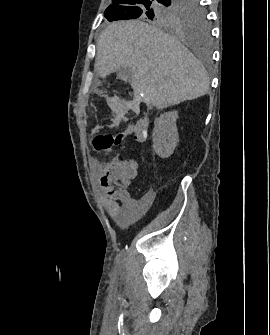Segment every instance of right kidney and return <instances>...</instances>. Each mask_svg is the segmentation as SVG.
I'll return each instance as SVG.
<instances>
[{"mask_svg":"<svg viewBox=\"0 0 270 335\" xmlns=\"http://www.w3.org/2000/svg\"><path fill=\"white\" fill-rule=\"evenodd\" d=\"M177 112H165L160 118H156L155 128L152 134L153 148L160 158L172 156L179 136L177 132L176 120Z\"/></svg>","mask_w":270,"mask_h":335,"instance_id":"right-kidney-1","label":"right kidney"}]
</instances>
